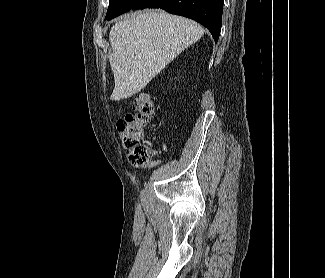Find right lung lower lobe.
Returning a JSON list of instances; mask_svg holds the SVG:
<instances>
[{"label": "right lung lower lobe", "instance_id": "98d812e1", "mask_svg": "<svg viewBox=\"0 0 325 278\" xmlns=\"http://www.w3.org/2000/svg\"><path fill=\"white\" fill-rule=\"evenodd\" d=\"M162 8L191 18L209 29L217 42L222 21L223 0H136L132 9Z\"/></svg>", "mask_w": 325, "mask_h": 278}]
</instances>
